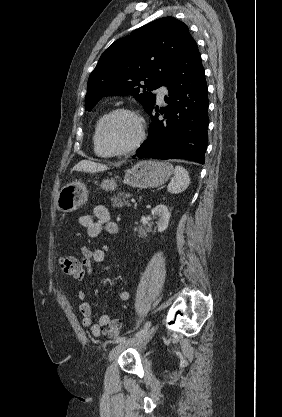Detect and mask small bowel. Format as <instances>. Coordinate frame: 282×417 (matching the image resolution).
Returning <instances> with one entry per match:
<instances>
[{
  "label": "small bowel",
  "mask_w": 282,
  "mask_h": 417,
  "mask_svg": "<svg viewBox=\"0 0 282 417\" xmlns=\"http://www.w3.org/2000/svg\"><path fill=\"white\" fill-rule=\"evenodd\" d=\"M78 224L86 228L88 236L96 238L104 231L109 235L116 236L120 233L119 225L112 221L109 210L104 205H96L93 208V213H83L78 216ZM81 278L78 280H85L93 271L95 266H99L106 276H111L112 271L108 266L103 265L106 259V252L102 248L91 249L87 246L81 248ZM77 298L80 301V312L82 314L83 326L90 330L91 334L99 337L104 331L105 318H113L108 314L101 315L95 322L92 314L90 304L87 302L88 291L86 289H79L77 291ZM118 298L121 302H127L131 298V292L128 289H121L118 293Z\"/></svg>",
  "instance_id": "small-bowel-1"
}]
</instances>
